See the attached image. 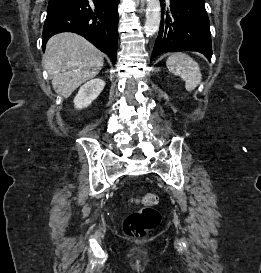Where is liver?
Segmentation results:
<instances>
[{
    "instance_id": "obj_1",
    "label": "liver",
    "mask_w": 261,
    "mask_h": 273,
    "mask_svg": "<svg viewBox=\"0 0 261 273\" xmlns=\"http://www.w3.org/2000/svg\"><path fill=\"white\" fill-rule=\"evenodd\" d=\"M42 64L53 77L54 91L68 98L82 83L100 72L104 56L83 37L61 33L48 40Z\"/></svg>"
}]
</instances>
